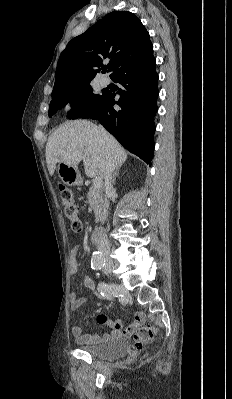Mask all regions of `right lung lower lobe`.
I'll list each match as a JSON object with an SVG mask.
<instances>
[{
	"mask_svg": "<svg viewBox=\"0 0 232 399\" xmlns=\"http://www.w3.org/2000/svg\"><path fill=\"white\" fill-rule=\"evenodd\" d=\"M153 53V52H152ZM125 64L110 76L121 85L115 93L106 92L100 105L76 118L97 119L127 150L151 164L154 152V115L157 112L158 75L153 54ZM121 110L117 111L113 105ZM75 119V118H72Z\"/></svg>",
	"mask_w": 232,
	"mask_h": 399,
	"instance_id": "1",
	"label": "right lung lower lobe"
}]
</instances>
